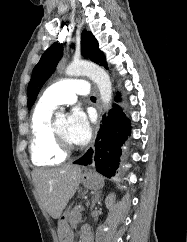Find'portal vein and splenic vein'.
I'll use <instances>...</instances> for the list:
<instances>
[{
  "label": "portal vein and splenic vein",
  "instance_id": "1",
  "mask_svg": "<svg viewBox=\"0 0 187 242\" xmlns=\"http://www.w3.org/2000/svg\"><path fill=\"white\" fill-rule=\"evenodd\" d=\"M84 210V208L82 207L81 209H80V211H83Z\"/></svg>",
  "mask_w": 187,
  "mask_h": 242
}]
</instances>
